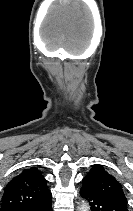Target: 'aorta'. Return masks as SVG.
<instances>
[{"label":"aorta","instance_id":"1","mask_svg":"<svg viewBox=\"0 0 133 211\" xmlns=\"http://www.w3.org/2000/svg\"><path fill=\"white\" fill-rule=\"evenodd\" d=\"M89 210H90V206L88 205V203L85 201H82V203L78 207V211H89Z\"/></svg>","mask_w":133,"mask_h":211}]
</instances>
